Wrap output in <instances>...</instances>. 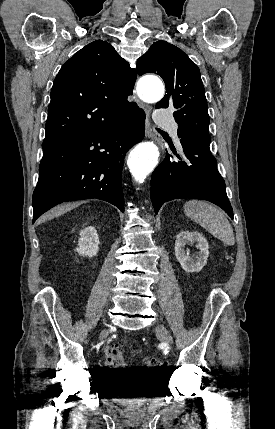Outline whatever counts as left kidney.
<instances>
[{
  "label": "left kidney",
  "instance_id": "obj_1",
  "mask_svg": "<svg viewBox=\"0 0 275 429\" xmlns=\"http://www.w3.org/2000/svg\"><path fill=\"white\" fill-rule=\"evenodd\" d=\"M197 243L199 249L197 254L189 255L185 250L187 244ZM209 245L207 240L198 232L181 231L175 241V256L182 269L187 273L200 272L207 264L209 256Z\"/></svg>",
  "mask_w": 275,
  "mask_h": 429
}]
</instances>
